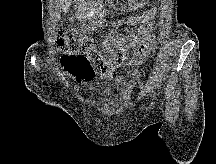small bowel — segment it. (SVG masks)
I'll return each mask as SVG.
<instances>
[{
  "label": "small bowel",
  "mask_w": 216,
  "mask_h": 164,
  "mask_svg": "<svg viewBox=\"0 0 216 164\" xmlns=\"http://www.w3.org/2000/svg\"><path fill=\"white\" fill-rule=\"evenodd\" d=\"M156 15L155 8H149L142 13L134 14L126 20L115 23L116 27L124 24L130 28L139 25L137 31L128 30L125 34L117 32L108 33L100 45V51L104 56H98L92 48L87 54L100 58L104 65L103 78L119 81L116 71L121 66H139L152 55L156 40L153 34V19Z\"/></svg>",
  "instance_id": "small-bowel-1"
}]
</instances>
